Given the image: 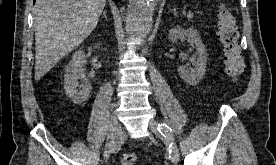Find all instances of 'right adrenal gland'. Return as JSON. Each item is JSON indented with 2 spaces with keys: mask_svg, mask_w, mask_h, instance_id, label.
<instances>
[{
  "mask_svg": "<svg viewBox=\"0 0 276 165\" xmlns=\"http://www.w3.org/2000/svg\"><path fill=\"white\" fill-rule=\"evenodd\" d=\"M103 17H104L105 19H107L106 11L103 12Z\"/></svg>",
  "mask_w": 276,
  "mask_h": 165,
  "instance_id": "obj_1",
  "label": "right adrenal gland"
}]
</instances>
